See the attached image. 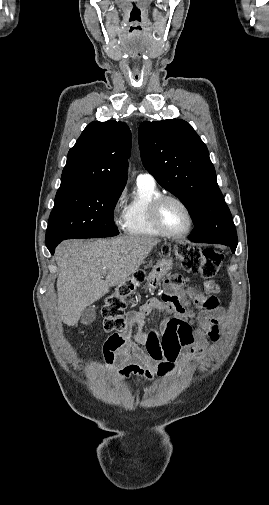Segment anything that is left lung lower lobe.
Returning <instances> with one entry per match:
<instances>
[{
  "label": "left lung lower lobe",
  "instance_id": "1",
  "mask_svg": "<svg viewBox=\"0 0 269 505\" xmlns=\"http://www.w3.org/2000/svg\"><path fill=\"white\" fill-rule=\"evenodd\" d=\"M193 242H194V241H193ZM227 246H229V247L231 248V250H232V252H233V253L235 252V249H236V247H237V246H235V245H227Z\"/></svg>",
  "mask_w": 269,
  "mask_h": 505
}]
</instances>
